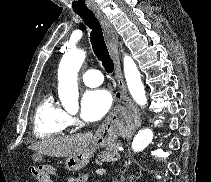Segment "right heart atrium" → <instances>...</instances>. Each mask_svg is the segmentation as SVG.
<instances>
[{"label":"right heart atrium","mask_w":211,"mask_h":182,"mask_svg":"<svg viewBox=\"0 0 211 182\" xmlns=\"http://www.w3.org/2000/svg\"><path fill=\"white\" fill-rule=\"evenodd\" d=\"M68 122L69 124L76 123V118L74 116L68 115Z\"/></svg>","instance_id":"obj_1"}]
</instances>
